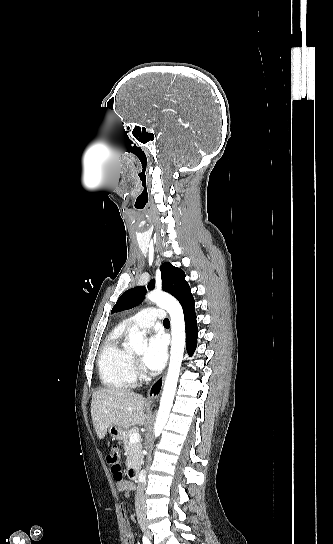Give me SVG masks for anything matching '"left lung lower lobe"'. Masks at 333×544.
<instances>
[{
	"label": "left lung lower lobe",
	"mask_w": 333,
	"mask_h": 544,
	"mask_svg": "<svg viewBox=\"0 0 333 544\" xmlns=\"http://www.w3.org/2000/svg\"><path fill=\"white\" fill-rule=\"evenodd\" d=\"M194 305V301H190L189 303L185 304V306H183L186 324V345L187 352L190 356H192L195 351L198 338V329Z\"/></svg>",
	"instance_id": "1"
}]
</instances>
